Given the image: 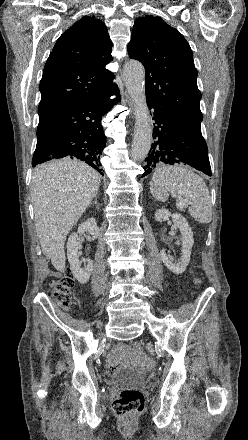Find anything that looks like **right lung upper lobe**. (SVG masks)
<instances>
[{
  "label": "right lung upper lobe",
  "mask_w": 248,
  "mask_h": 440,
  "mask_svg": "<svg viewBox=\"0 0 248 440\" xmlns=\"http://www.w3.org/2000/svg\"><path fill=\"white\" fill-rule=\"evenodd\" d=\"M111 48L105 24L94 17L84 16L65 31L43 70L39 116L105 92L113 78L105 68L112 61Z\"/></svg>",
  "instance_id": "cb5924a9"
}]
</instances>
